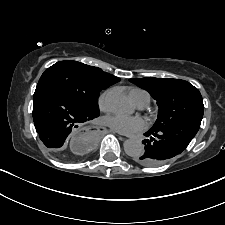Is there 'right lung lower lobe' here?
I'll return each instance as SVG.
<instances>
[{
  "instance_id": "obj_1",
  "label": "right lung lower lobe",
  "mask_w": 225,
  "mask_h": 225,
  "mask_svg": "<svg viewBox=\"0 0 225 225\" xmlns=\"http://www.w3.org/2000/svg\"><path fill=\"white\" fill-rule=\"evenodd\" d=\"M98 116L82 109L57 88L47 83L37 84L33 97V121L46 147L60 150L78 125Z\"/></svg>"
}]
</instances>
